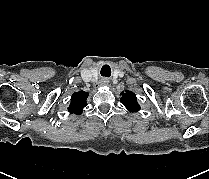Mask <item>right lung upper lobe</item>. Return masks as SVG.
Here are the masks:
<instances>
[{
  "label": "right lung upper lobe",
  "mask_w": 209,
  "mask_h": 179,
  "mask_svg": "<svg viewBox=\"0 0 209 179\" xmlns=\"http://www.w3.org/2000/svg\"><path fill=\"white\" fill-rule=\"evenodd\" d=\"M88 93L84 91H79L71 96V103L68 107V111L71 114L80 115L82 114L83 108L87 106L86 99L88 97Z\"/></svg>",
  "instance_id": "right-lung-upper-lobe-1"
}]
</instances>
